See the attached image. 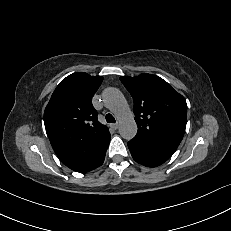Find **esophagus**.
I'll use <instances>...</instances> for the list:
<instances>
[{
	"label": "esophagus",
	"instance_id": "esophagus-1",
	"mask_svg": "<svg viewBox=\"0 0 231 231\" xmlns=\"http://www.w3.org/2000/svg\"><path fill=\"white\" fill-rule=\"evenodd\" d=\"M111 128H113V129H118V123H116V124H111Z\"/></svg>",
	"mask_w": 231,
	"mask_h": 231
}]
</instances>
